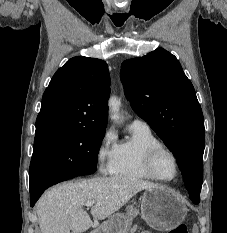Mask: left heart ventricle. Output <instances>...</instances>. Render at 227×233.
I'll list each match as a JSON object with an SVG mask.
<instances>
[{"label": "left heart ventricle", "instance_id": "b2bd125f", "mask_svg": "<svg viewBox=\"0 0 227 233\" xmlns=\"http://www.w3.org/2000/svg\"><path fill=\"white\" fill-rule=\"evenodd\" d=\"M157 173L166 179L172 178L175 174V164L172 157L167 153H161L155 162Z\"/></svg>", "mask_w": 227, "mask_h": 233}]
</instances>
